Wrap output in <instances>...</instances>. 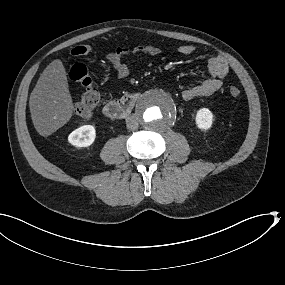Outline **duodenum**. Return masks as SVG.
<instances>
[{"label":"duodenum","instance_id":"1","mask_svg":"<svg viewBox=\"0 0 285 285\" xmlns=\"http://www.w3.org/2000/svg\"><path fill=\"white\" fill-rule=\"evenodd\" d=\"M139 94L133 93L123 96L117 100H111L103 108L104 114L111 119L127 118L138 101Z\"/></svg>","mask_w":285,"mask_h":285}]
</instances>
